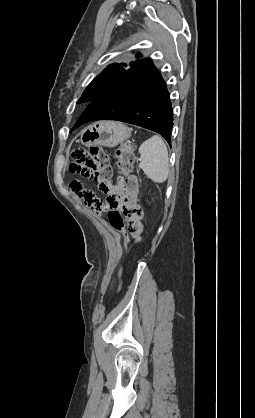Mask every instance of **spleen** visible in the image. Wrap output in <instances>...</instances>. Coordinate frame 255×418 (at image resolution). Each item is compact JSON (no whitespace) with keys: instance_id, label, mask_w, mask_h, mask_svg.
Instances as JSON below:
<instances>
[{"instance_id":"3e777b00","label":"spleen","mask_w":255,"mask_h":418,"mask_svg":"<svg viewBox=\"0 0 255 418\" xmlns=\"http://www.w3.org/2000/svg\"><path fill=\"white\" fill-rule=\"evenodd\" d=\"M141 162L139 167L144 174L156 183L166 181L169 175V157L163 139L154 135L139 147Z\"/></svg>"}]
</instances>
